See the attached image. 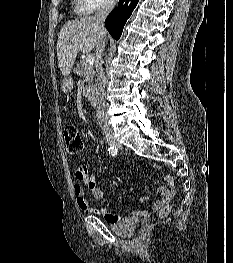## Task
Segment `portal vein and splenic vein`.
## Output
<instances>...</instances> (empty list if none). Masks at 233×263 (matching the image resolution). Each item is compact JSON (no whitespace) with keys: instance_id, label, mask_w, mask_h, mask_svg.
I'll list each match as a JSON object with an SVG mask.
<instances>
[{"instance_id":"obj_1","label":"portal vein and splenic vein","mask_w":233,"mask_h":263,"mask_svg":"<svg viewBox=\"0 0 233 263\" xmlns=\"http://www.w3.org/2000/svg\"><path fill=\"white\" fill-rule=\"evenodd\" d=\"M94 63V56L93 55H87L85 59V64L86 65H93Z\"/></svg>"}]
</instances>
